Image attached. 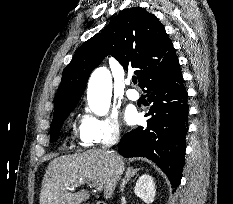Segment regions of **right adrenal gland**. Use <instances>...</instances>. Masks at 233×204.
<instances>
[{
  "instance_id": "obj_1",
  "label": "right adrenal gland",
  "mask_w": 233,
  "mask_h": 204,
  "mask_svg": "<svg viewBox=\"0 0 233 204\" xmlns=\"http://www.w3.org/2000/svg\"><path fill=\"white\" fill-rule=\"evenodd\" d=\"M140 168H136V169H133L131 167H129L126 171V175L124 177V179L122 180V183H121V187H120V190L123 192L124 191V188H125V185L128 183V181L131 179V177H133L137 171H139Z\"/></svg>"
}]
</instances>
